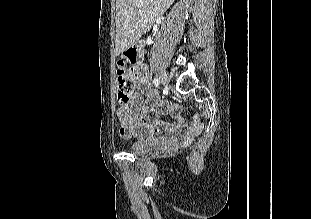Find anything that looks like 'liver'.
<instances>
[{
  "label": "liver",
  "instance_id": "obj_1",
  "mask_svg": "<svg viewBox=\"0 0 311 219\" xmlns=\"http://www.w3.org/2000/svg\"><path fill=\"white\" fill-rule=\"evenodd\" d=\"M174 0H116L115 54L119 55L148 32Z\"/></svg>",
  "mask_w": 311,
  "mask_h": 219
}]
</instances>
